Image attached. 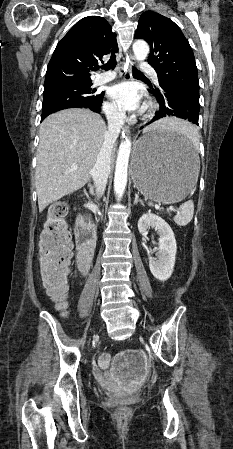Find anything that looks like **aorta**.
<instances>
[{"label":"aorta","instance_id":"1","mask_svg":"<svg viewBox=\"0 0 233 449\" xmlns=\"http://www.w3.org/2000/svg\"><path fill=\"white\" fill-rule=\"evenodd\" d=\"M133 52L136 60L144 61L149 54V46L145 41L137 40L133 43ZM131 151V141L129 138L123 140L119 146L114 176V191L117 200L123 196L127 185L128 162Z\"/></svg>","mask_w":233,"mask_h":449}]
</instances>
